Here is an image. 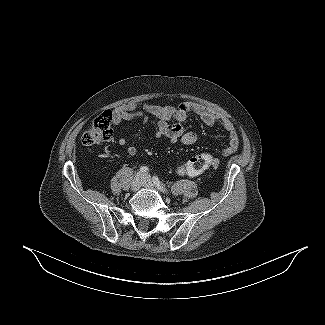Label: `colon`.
<instances>
[{
	"label": "colon",
	"mask_w": 325,
	"mask_h": 325,
	"mask_svg": "<svg viewBox=\"0 0 325 325\" xmlns=\"http://www.w3.org/2000/svg\"><path fill=\"white\" fill-rule=\"evenodd\" d=\"M112 121L113 115L110 111L97 116L82 135L81 141L83 145L93 146L108 141L112 137ZM213 160V156L209 153L194 156L190 158L189 166L184 167L181 165L178 172L182 175H198L211 166Z\"/></svg>",
	"instance_id": "obj_1"
}]
</instances>
